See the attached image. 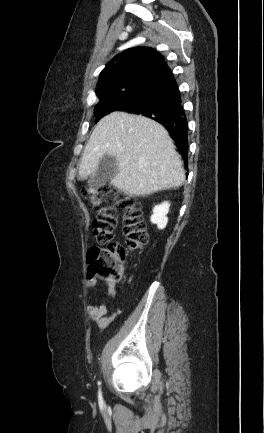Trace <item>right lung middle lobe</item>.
<instances>
[{
  "mask_svg": "<svg viewBox=\"0 0 264 433\" xmlns=\"http://www.w3.org/2000/svg\"><path fill=\"white\" fill-rule=\"evenodd\" d=\"M141 86L129 87L125 90L101 97L95 106L96 122L115 110H127L130 103L138 95Z\"/></svg>",
  "mask_w": 264,
  "mask_h": 433,
  "instance_id": "1",
  "label": "right lung middle lobe"
}]
</instances>
